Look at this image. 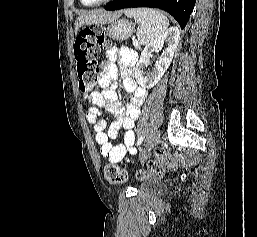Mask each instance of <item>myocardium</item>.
<instances>
[{
    "label": "myocardium",
    "mask_w": 257,
    "mask_h": 237,
    "mask_svg": "<svg viewBox=\"0 0 257 237\" xmlns=\"http://www.w3.org/2000/svg\"><path fill=\"white\" fill-rule=\"evenodd\" d=\"M112 0H100L98 2H94V3H87L84 0H81V2L85 5V6H89V7H93V6H99V5H103L106 3L111 2Z\"/></svg>",
    "instance_id": "obj_1"
}]
</instances>
